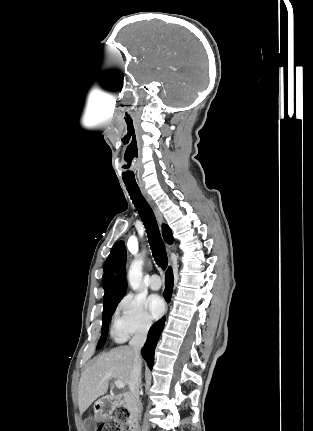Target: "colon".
Returning a JSON list of instances; mask_svg holds the SVG:
<instances>
[{
    "label": "colon",
    "mask_w": 313,
    "mask_h": 431,
    "mask_svg": "<svg viewBox=\"0 0 313 431\" xmlns=\"http://www.w3.org/2000/svg\"><path fill=\"white\" fill-rule=\"evenodd\" d=\"M129 417L130 413L128 410L124 407H120L99 426L98 431H130L128 424Z\"/></svg>",
    "instance_id": "colon-1"
}]
</instances>
